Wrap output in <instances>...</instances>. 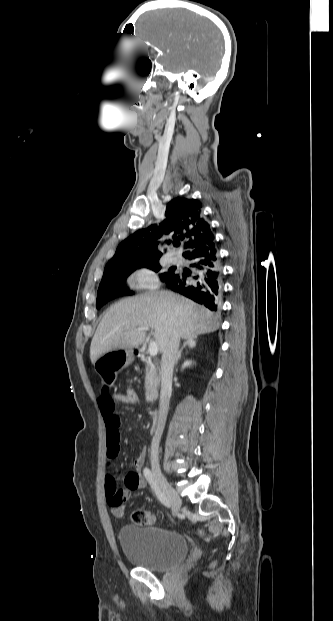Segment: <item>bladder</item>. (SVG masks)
I'll list each match as a JSON object with an SVG mask.
<instances>
[{
    "label": "bladder",
    "mask_w": 333,
    "mask_h": 621,
    "mask_svg": "<svg viewBox=\"0 0 333 621\" xmlns=\"http://www.w3.org/2000/svg\"><path fill=\"white\" fill-rule=\"evenodd\" d=\"M126 559L150 571H166L180 564L187 556L185 538L172 530L151 525H126L118 534Z\"/></svg>",
    "instance_id": "31cf9c89"
}]
</instances>
